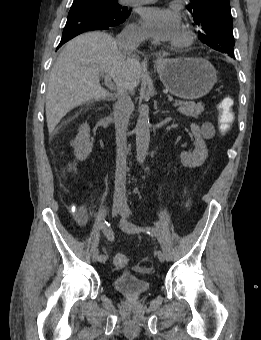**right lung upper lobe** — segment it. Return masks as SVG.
<instances>
[{"label": "right lung upper lobe", "instance_id": "obj_1", "mask_svg": "<svg viewBox=\"0 0 261 340\" xmlns=\"http://www.w3.org/2000/svg\"><path fill=\"white\" fill-rule=\"evenodd\" d=\"M84 1H91V0H74L73 3H77V2H84Z\"/></svg>", "mask_w": 261, "mask_h": 340}]
</instances>
